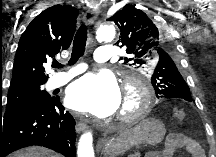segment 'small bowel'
Masks as SVG:
<instances>
[{"label": "small bowel", "instance_id": "obj_1", "mask_svg": "<svg viewBox=\"0 0 216 157\" xmlns=\"http://www.w3.org/2000/svg\"><path fill=\"white\" fill-rule=\"evenodd\" d=\"M183 148L192 157H204L202 147L190 136L182 134H171L167 138L166 144L161 151V157H173L176 150Z\"/></svg>", "mask_w": 216, "mask_h": 157}]
</instances>
